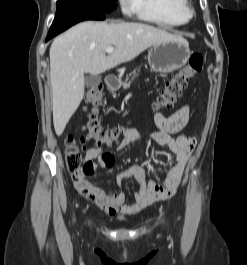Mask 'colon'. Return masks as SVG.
I'll return each mask as SVG.
<instances>
[{
	"mask_svg": "<svg viewBox=\"0 0 247 265\" xmlns=\"http://www.w3.org/2000/svg\"><path fill=\"white\" fill-rule=\"evenodd\" d=\"M203 57L201 54L190 56L188 64L179 70L165 84L156 103L157 109L171 108L182 91L187 87L189 79L196 73L202 71ZM102 102V93L99 87H93L86 93L87 115L83 124L84 135L80 137V142L94 141L97 147L112 146L119 143L129 130L124 127L106 128L103 127L97 115V108ZM67 153L66 166L71 174L83 172L91 173L92 166L83 161L81 150L73 135L66 138Z\"/></svg>",
	"mask_w": 247,
	"mask_h": 265,
	"instance_id": "obj_1",
	"label": "colon"
}]
</instances>
